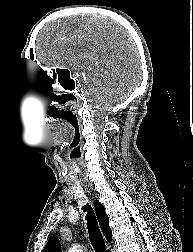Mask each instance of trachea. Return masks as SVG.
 Listing matches in <instances>:
<instances>
[{
	"label": "trachea",
	"mask_w": 193,
	"mask_h": 252,
	"mask_svg": "<svg viewBox=\"0 0 193 252\" xmlns=\"http://www.w3.org/2000/svg\"><path fill=\"white\" fill-rule=\"evenodd\" d=\"M83 212H87V229L90 238V242L95 250V252H107L106 244L103 235L98 226L96 216L94 214L93 208L87 203L82 207Z\"/></svg>",
	"instance_id": "trachea-1"
}]
</instances>
